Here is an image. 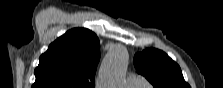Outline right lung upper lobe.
Wrapping results in <instances>:
<instances>
[{
  "label": "right lung upper lobe",
  "mask_w": 223,
  "mask_h": 88,
  "mask_svg": "<svg viewBox=\"0 0 223 88\" xmlns=\"http://www.w3.org/2000/svg\"><path fill=\"white\" fill-rule=\"evenodd\" d=\"M99 40L90 30L67 31L40 56L32 88H94Z\"/></svg>",
  "instance_id": "cb5924a9"
}]
</instances>
